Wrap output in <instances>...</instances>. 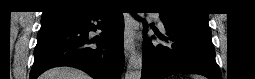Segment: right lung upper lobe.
Here are the masks:
<instances>
[{"mask_svg":"<svg viewBox=\"0 0 255 79\" xmlns=\"http://www.w3.org/2000/svg\"><path fill=\"white\" fill-rule=\"evenodd\" d=\"M100 7L96 4L86 3L82 0H51L42 18L59 15L62 13L77 15L97 10Z\"/></svg>","mask_w":255,"mask_h":79,"instance_id":"1","label":"right lung upper lobe"}]
</instances>
